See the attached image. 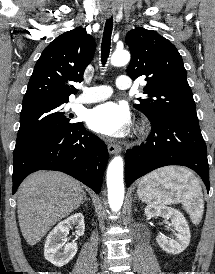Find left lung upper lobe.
<instances>
[{"instance_id": "5c2ea615", "label": "left lung upper lobe", "mask_w": 215, "mask_h": 274, "mask_svg": "<svg viewBox=\"0 0 215 274\" xmlns=\"http://www.w3.org/2000/svg\"><path fill=\"white\" fill-rule=\"evenodd\" d=\"M131 51L128 75L145 76V99L134 107L150 121L176 118L198 123L196 106L182 57L176 47L156 31L137 27L126 35Z\"/></svg>"}]
</instances>
